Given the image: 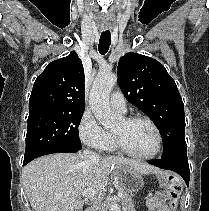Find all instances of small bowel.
Segmentation results:
<instances>
[{"mask_svg":"<svg viewBox=\"0 0 209 211\" xmlns=\"http://www.w3.org/2000/svg\"><path fill=\"white\" fill-rule=\"evenodd\" d=\"M146 206L148 211H171L166 204V196L162 192L149 197L146 201Z\"/></svg>","mask_w":209,"mask_h":211,"instance_id":"small-bowel-1","label":"small bowel"}]
</instances>
